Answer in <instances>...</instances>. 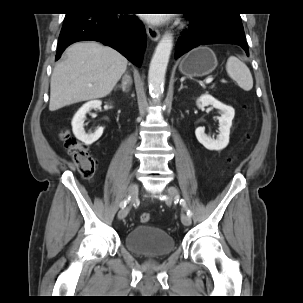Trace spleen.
Returning <instances> with one entry per match:
<instances>
[{"label": "spleen", "mask_w": 303, "mask_h": 303, "mask_svg": "<svg viewBox=\"0 0 303 303\" xmlns=\"http://www.w3.org/2000/svg\"><path fill=\"white\" fill-rule=\"evenodd\" d=\"M228 75L245 91L253 88V78L249 68L237 57L231 56L226 63Z\"/></svg>", "instance_id": "1"}]
</instances>
